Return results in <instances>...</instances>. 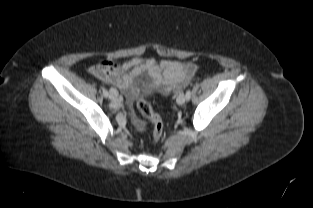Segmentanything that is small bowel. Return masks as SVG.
<instances>
[{
	"instance_id": "small-bowel-1",
	"label": "small bowel",
	"mask_w": 313,
	"mask_h": 208,
	"mask_svg": "<svg viewBox=\"0 0 313 208\" xmlns=\"http://www.w3.org/2000/svg\"><path fill=\"white\" fill-rule=\"evenodd\" d=\"M147 71L155 83L167 90L185 86L196 74L197 66L191 62L135 57L122 64L103 60L90 69V73L106 84H112L131 96L137 84V77ZM135 124L142 128L144 123L135 118Z\"/></svg>"
}]
</instances>
